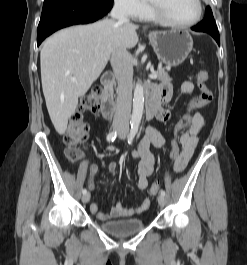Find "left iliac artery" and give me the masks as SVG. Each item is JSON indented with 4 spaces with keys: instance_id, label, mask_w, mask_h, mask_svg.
I'll return each mask as SVG.
<instances>
[{
    "instance_id": "44dca946",
    "label": "left iliac artery",
    "mask_w": 247,
    "mask_h": 265,
    "mask_svg": "<svg viewBox=\"0 0 247 265\" xmlns=\"http://www.w3.org/2000/svg\"><path fill=\"white\" fill-rule=\"evenodd\" d=\"M138 128H139V125L138 124L131 125V130H130V133H129L128 137H127L129 144H132V141H133L135 135L138 132ZM160 194L163 195V196H165L166 193H165L164 190H161L160 191Z\"/></svg>"
}]
</instances>
